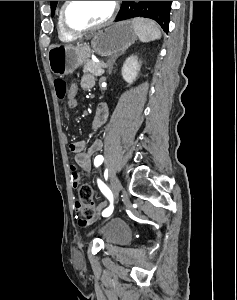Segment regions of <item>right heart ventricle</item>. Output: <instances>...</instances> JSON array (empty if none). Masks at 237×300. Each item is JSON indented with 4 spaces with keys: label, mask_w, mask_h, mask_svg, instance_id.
<instances>
[{
    "label": "right heart ventricle",
    "mask_w": 237,
    "mask_h": 300,
    "mask_svg": "<svg viewBox=\"0 0 237 300\" xmlns=\"http://www.w3.org/2000/svg\"><path fill=\"white\" fill-rule=\"evenodd\" d=\"M64 3L61 4L60 8H59V18H58V34L59 37L61 39H69L71 36L70 34H68L62 27L61 24V11H62V7H63Z\"/></svg>",
    "instance_id": "e07e8e85"
}]
</instances>
